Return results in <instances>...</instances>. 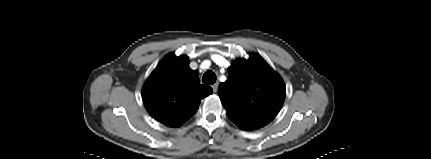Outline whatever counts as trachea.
Wrapping results in <instances>:
<instances>
[{"label":"trachea","mask_w":431,"mask_h":159,"mask_svg":"<svg viewBox=\"0 0 431 159\" xmlns=\"http://www.w3.org/2000/svg\"><path fill=\"white\" fill-rule=\"evenodd\" d=\"M202 82L205 84H213L216 82V74L208 70L202 77Z\"/></svg>","instance_id":"3493384b"}]
</instances>
